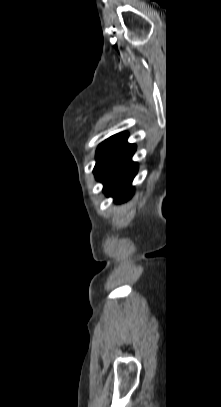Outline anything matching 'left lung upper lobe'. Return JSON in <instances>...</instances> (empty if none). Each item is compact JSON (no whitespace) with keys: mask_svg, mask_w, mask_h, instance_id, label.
Segmentation results:
<instances>
[{"mask_svg":"<svg viewBox=\"0 0 221 407\" xmlns=\"http://www.w3.org/2000/svg\"><path fill=\"white\" fill-rule=\"evenodd\" d=\"M120 135L121 134H116L101 143L96 151V159H98Z\"/></svg>","mask_w":221,"mask_h":407,"instance_id":"obj_1","label":"left lung upper lobe"}]
</instances>
